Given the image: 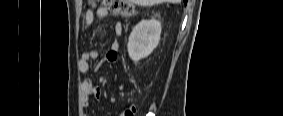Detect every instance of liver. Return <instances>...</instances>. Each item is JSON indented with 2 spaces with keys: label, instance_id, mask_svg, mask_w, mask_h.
Instances as JSON below:
<instances>
[{
  "label": "liver",
  "instance_id": "6515ba94",
  "mask_svg": "<svg viewBox=\"0 0 283 116\" xmlns=\"http://www.w3.org/2000/svg\"><path fill=\"white\" fill-rule=\"evenodd\" d=\"M138 5H154V4H159L162 2H171V3H179L180 0H134Z\"/></svg>",
  "mask_w": 283,
  "mask_h": 116
}]
</instances>
